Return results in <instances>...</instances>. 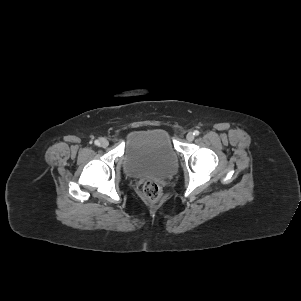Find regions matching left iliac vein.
<instances>
[{"label": "left iliac vein", "instance_id": "4c4485c4", "mask_svg": "<svg viewBox=\"0 0 301 301\" xmlns=\"http://www.w3.org/2000/svg\"><path fill=\"white\" fill-rule=\"evenodd\" d=\"M186 139L188 141H193L194 140V134L192 132H189L187 135H186Z\"/></svg>", "mask_w": 301, "mask_h": 301}]
</instances>
